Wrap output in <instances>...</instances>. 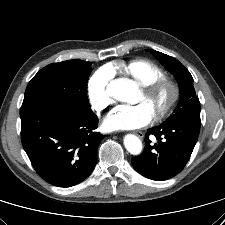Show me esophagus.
Here are the masks:
<instances>
[{"mask_svg":"<svg viewBox=\"0 0 225 225\" xmlns=\"http://www.w3.org/2000/svg\"><path fill=\"white\" fill-rule=\"evenodd\" d=\"M140 139H143L144 138V134L140 131H136L134 132Z\"/></svg>","mask_w":225,"mask_h":225,"instance_id":"34e87169","label":"esophagus"}]
</instances>
